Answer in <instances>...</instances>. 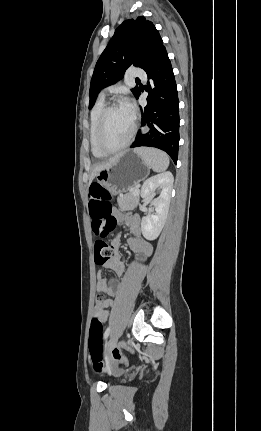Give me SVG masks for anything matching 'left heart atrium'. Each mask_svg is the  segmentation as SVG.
<instances>
[{
	"mask_svg": "<svg viewBox=\"0 0 261 431\" xmlns=\"http://www.w3.org/2000/svg\"><path fill=\"white\" fill-rule=\"evenodd\" d=\"M123 106L131 113H134V106L132 104V102L129 99H125L123 101Z\"/></svg>",
	"mask_w": 261,
	"mask_h": 431,
	"instance_id": "left-heart-atrium-1",
	"label": "left heart atrium"
}]
</instances>
